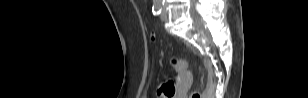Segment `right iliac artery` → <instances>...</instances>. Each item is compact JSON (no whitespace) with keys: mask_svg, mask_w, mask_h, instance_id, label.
Here are the masks:
<instances>
[{"mask_svg":"<svg viewBox=\"0 0 308 98\" xmlns=\"http://www.w3.org/2000/svg\"><path fill=\"white\" fill-rule=\"evenodd\" d=\"M161 10H162V4L160 2L154 3V5L152 7L153 14L159 15L161 13Z\"/></svg>","mask_w":308,"mask_h":98,"instance_id":"right-iliac-artery-1","label":"right iliac artery"}]
</instances>
